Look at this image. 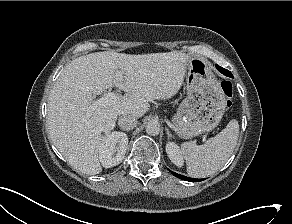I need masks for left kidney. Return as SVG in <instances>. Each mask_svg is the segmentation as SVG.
<instances>
[{
    "mask_svg": "<svg viewBox=\"0 0 292 224\" xmlns=\"http://www.w3.org/2000/svg\"><path fill=\"white\" fill-rule=\"evenodd\" d=\"M166 153L173 164H175L177 167L183 166V156L177 144L174 142H168L166 144Z\"/></svg>",
    "mask_w": 292,
    "mask_h": 224,
    "instance_id": "1",
    "label": "left kidney"
}]
</instances>
